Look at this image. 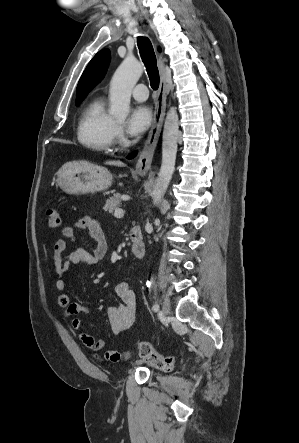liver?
Segmentation results:
<instances>
[{
    "instance_id": "1",
    "label": "liver",
    "mask_w": 299,
    "mask_h": 443,
    "mask_svg": "<svg viewBox=\"0 0 299 443\" xmlns=\"http://www.w3.org/2000/svg\"><path fill=\"white\" fill-rule=\"evenodd\" d=\"M106 164L120 167L124 166V163L119 160L107 161Z\"/></svg>"
}]
</instances>
